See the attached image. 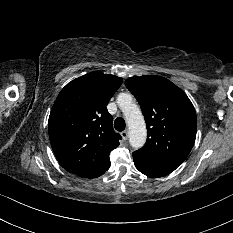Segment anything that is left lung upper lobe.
<instances>
[{
  "label": "left lung upper lobe",
  "mask_w": 233,
  "mask_h": 233,
  "mask_svg": "<svg viewBox=\"0 0 233 233\" xmlns=\"http://www.w3.org/2000/svg\"><path fill=\"white\" fill-rule=\"evenodd\" d=\"M125 85L140 104L147 126V141L138 151L181 165L193 147L197 129L195 109L187 95L161 76L132 77Z\"/></svg>",
  "instance_id": "left-lung-upper-lobe-1"
}]
</instances>
